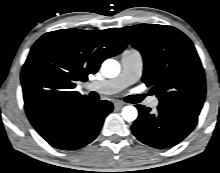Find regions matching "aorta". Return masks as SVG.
Returning a JSON list of instances; mask_svg holds the SVG:
<instances>
[{"label":"aorta","instance_id":"obj_1","mask_svg":"<svg viewBox=\"0 0 220 173\" xmlns=\"http://www.w3.org/2000/svg\"><path fill=\"white\" fill-rule=\"evenodd\" d=\"M101 72L106 78H114L120 72V64L114 59H107L101 66ZM122 117L128 122L135 121L138 111L134 106H125L122 109Z\"/></svg>","mask_w":220,"mask_h":173}]
</instances>
